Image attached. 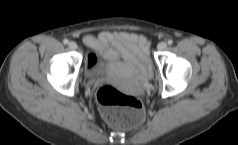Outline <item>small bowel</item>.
Returning a JSON list of instances; mask_svg holds the SVG:
<instances>
[{
	"instance_id": "c3829d8e",
	"label": "small bowel",
	"mask_w": 238,
	"mask_h": 145,
	"mask_svg": "<svg viewBox=\"0 0 238 145\" xmlns=\"http://www.w3.org/2000/svg\"><path fill=\"white\" fill-rule=\"evenodd\" d=\"M84 42L107 60L117 61L123 58L135 66L143 76L150 73L149 43L143 35L104 31L97 36H85Z\"/></svg>"
}]
</instances>
